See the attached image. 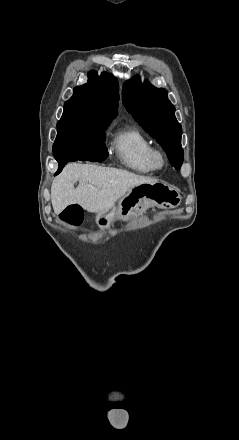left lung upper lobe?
I'll return each mask as SVG.
<instances>
[{"instance_id": "5c2ea615", "label": "left lung upper lobe", "mask_w": 239, "mask_h": 440, "mask_svg": "<svg viewBox=\"0 0 239 440\" xmlns=\"http://www.w3.org/2000/svg\"><path fill=\"white\" fill-rule=\"evenodd\" d=\"M122 100L143 129L163 147L172 166L180 169L184 158L182 128L166 90L148 82L142 84L140 78L135 77L123 84Z\"/></svg>"}]
</instances>
